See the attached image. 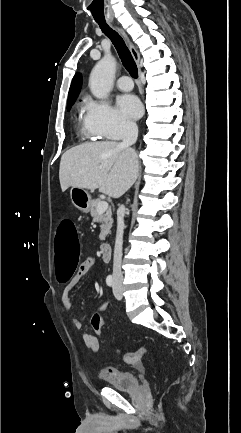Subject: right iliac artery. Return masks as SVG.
Here are the masks:
<instances>
[{"instance_id": "right-iliac-artery-1", "label": "right iliac artery", "mask_w": 241, "mask_h": 433, "mask_svg": "<svg viewBox=\"0 0 241 433\" xmlns=\"http://www.w3.org/2000/svg\"><path fill=\"white\" fill-rule=\"evenodd\" d=\"M106 283L108 286H113V277L111 275L107 276Z\"/></svg>"}]
</instances>
